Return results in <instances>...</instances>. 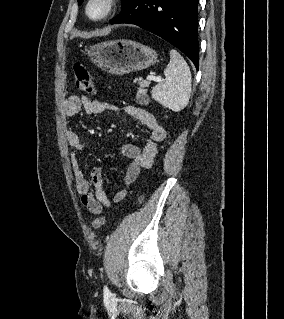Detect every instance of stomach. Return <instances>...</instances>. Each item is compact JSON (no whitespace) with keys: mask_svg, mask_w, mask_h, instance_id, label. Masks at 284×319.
Masks as SVG:
<instances>
[{"mask_svg":"<svg viewBox=\"0 0 284 319\" xmlns=\"http://www.w3.org/2000/svg\"><path fill=\"white\" fill-rule=\"evenodd\" d=\"M88 55L97 66L115 75L146 69L158 61L155 50L127 39L97 43Z\"/></svg>","mask_w":284,"mask_h":319,"instance_id":"stomach-1","label":"stomach"}]
</instances>
